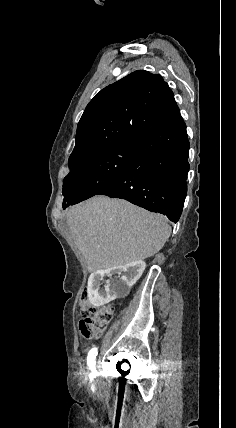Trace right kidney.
Returning a JSON list of instances; mask_svg holds the SVG:
<instances>
[{
	"mask_svg": "<svg viewBox=\"0 0 236 428\" xmlns=\"http://www.w3.org/2000/svg\"><path fill=\"white\" fill-rule=\"evenodd\" d=\"M145 268L143 260H135L119 269H94L87 288L91 304L109 306L110 301L129 300V290L141 278ZM110 278H114V283H106Z\"/></svg>",
	"mask_w": 236,
	"mask_h": 428,
	"instance_id": "ca27d5eb",
	"label": "right kidney"
}]
</instances>
